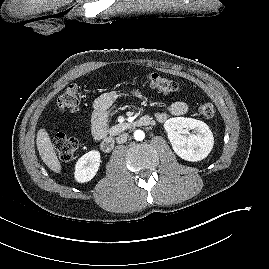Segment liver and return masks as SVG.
Returning <instances> with one entry per match:
<instances>
[{
  "mask_svg": "<svg viewBox=\"0 0 269 269\" xmlns=\"http://www.w3.org/2000/svg\"><path fill=\"white\" fill-rule=\"evenodd\" d=\"M37 148L43 162L55 173H60L61 165L53 149L48 132L41 128L37 133Z\"/></svg>",
  "mask_w": 269,
  "mask_h": 269,
  "instance_id": "liver-1",
  "label": "liver"
}]
</instances>
